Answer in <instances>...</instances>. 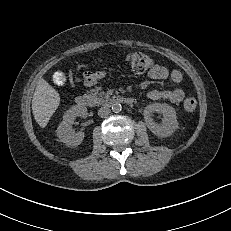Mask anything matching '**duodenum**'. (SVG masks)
Returning <instances> with one entry per match:
<instances>
[{
    "label": "duodenum",
    "mask_w": 231,
    "mask_h": 231,
    "mask_svg": "<svg viewBox=\"0 0 231 231\" xmlns=\"http://www.w3.org/2000/svg\"><path fill=\"white\" fill-rule=\"evenodd\" d=\"M108 103H123V104H133L134 99L128 96L116 95L108 99ZM75 103L79 107H87L92 104V99L87 95H79L75 99Z\"/></svg>",
    "instance_id": "duodenum-1"
}]
</instances>
